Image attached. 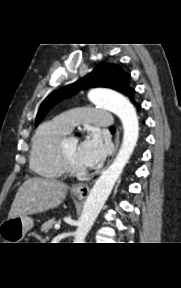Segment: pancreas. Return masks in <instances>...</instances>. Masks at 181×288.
Wrapping results in <instances>:
<instances>
[{"label": "pancreas", "instance_id": "cf45deb5", "mask_svg": "<svg viewBox=\"0 0 181 288\" xmlns=\"http://www.w3.org/2000/svg\"><path fill=\"white\" fill-rule=\"evenodd\" d=\"M57 222L55 221L54 218L49 219L48 221H46L42 226H41V231L48 233L49 230L52 228V226L54 224H56Z\"/></svg>", "mask_w": 181, "mask_h": 288}]
</instances>
